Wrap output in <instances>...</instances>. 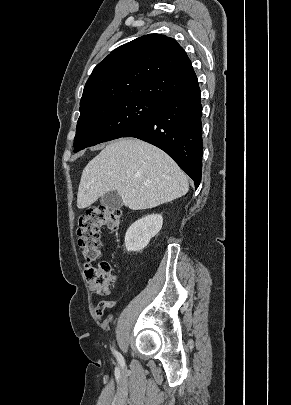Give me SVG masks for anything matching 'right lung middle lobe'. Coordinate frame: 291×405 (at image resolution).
<instances>
[{
  "label": "right lung middle lobe",
  "instance_id": "1",
  "mask_svg": "<svg viewBox=\"0 0 291 405\" xmlns=\"http://www.w3.org/2000/svg\"><path fill=\"white\" fill-rule=\"evenodd\" d=\"M160 105L158 100L135 97L80 109L74 152L123 137L146 122Z\"/></svg>",
  "mask_w": 291,
  "mask_h": 405
}]
</instances>
